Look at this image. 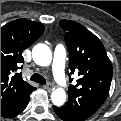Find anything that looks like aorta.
Returning a JSON list of instances; mask_svg holds the SVG:
<instances>
[{
  "instance_id": "obj_1",
  "label": "aorta",
  "mask_w": 121,
  "mask_h": 121,
  "mask_svg": "<svg viewBox=\"0 0 121 121\" xmlns=\"http://www.w3.org/2000/svg\"><path fill=\"white\" fill-rule=\"evenodd\" d=\"M34 62L39 66H48L52 61L50 48L43 43L35 45L32 49ZM51 100L55 106H62L66 101V93L63 88H57L51 93Z\"/></svg>"
}]
</instances>
